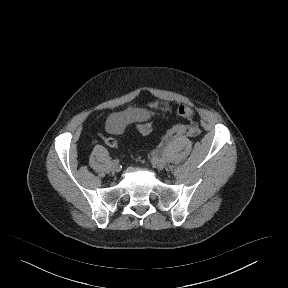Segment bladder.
Returning a JSON list of instances; mask_svg holds the SVG:
<instances>
[{"mask_svg":"<svg viewBox=\"0 0 288 288\" xmlns=\"http://www.w3.org/2000/svg\"><path fill=\"white\" fill-rule=\"evenodd\" d=\"M149 116V112L147 110H138V109H129L121 114H118L112 117L109 120V124L112 127H121L126 122L130 121H143Z\"/></svg>","mask_w":288,"mask_h":288,"instance_id":"31cf9c89","label":"bladder"}]
</instances>
